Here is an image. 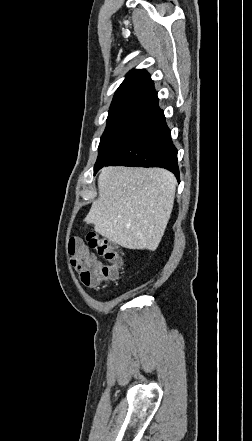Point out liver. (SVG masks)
I'll return each instance as SVG.
<instances>
[{
    "mask_svg": "<svg viewBox=\"0 0 252 441\" xmlns=\"http://www.w3.org/2000/svg\"><path fill=\"white\" fill-rule=\"evenodd\" d=\"M176 186L175 176L162 168H103L99 197L85 222L124 248L153 251L169 221Z\"/></svg>",
    "mask_w": 252,
    "mask_h": 441,
    "instance_id": "obj_1",
    "label": "liver"
}]
</instances>
